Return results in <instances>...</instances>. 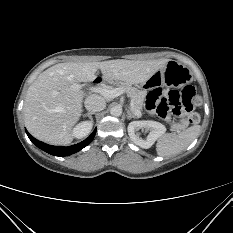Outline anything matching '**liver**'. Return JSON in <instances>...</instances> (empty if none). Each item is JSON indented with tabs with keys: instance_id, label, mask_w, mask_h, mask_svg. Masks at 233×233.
<instances>
[{
	"instance_id": "liver-1",
	"label": "liver",
	"mask_w": 233,
	"mask_h": 233,
	"mask_svg": "<svg viewBox=\"0 0 233 233\" xmlns=\"http://www.w3.org/2000/svg\"><path fill=\"white\" fill-rule=\"evenodd\" d=\"M168 62V59H117L56 64L42 72L27 91L23 108L26 128L32 136L43 142L70 144L72 129L83 112L81 82L93 81L100 70L105 80L129 85L143 84Z\"/></svg>"
}]
</instances>
